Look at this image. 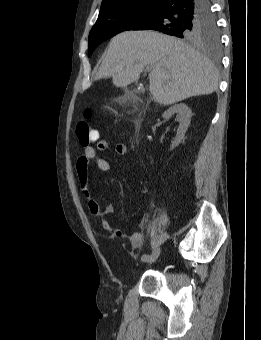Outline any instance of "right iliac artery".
Masks as SVG:
<instances>
[{"label":"right iliac artery","instance_id":"right-iliac-artery-1","mask_svg":"<svg viewBox=\"0 0 261 340\" xmlns=\"http://www.w3.org/2000/svg\"><path fill=\"white\" fill-rule=\"evenodd\" d=\"M149 258H150V255L144 254V255H142V257H141V260H142L143 262H148Z\"/></svg>","mask_w":261,"mask_h":340}]
</instances>
